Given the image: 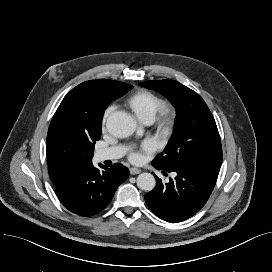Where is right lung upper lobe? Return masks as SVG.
I'll return each instance as SVG.
<instances>
[{"instance_id": "1", "label": "right lung upper lobe", "mask_w": 272, "mask_h": 272, "mask_svg": "<svg viewBox=\"0 0 272 272\" xmlns=\"http://www.w3.org/2000/svg\"><path fill=\"white\" fill-rule=\"evenodd\" d=\"M124 84L108 79L86 81L62 100L46 141L49 175L56 188L92 163L91 147L101 135L104 110Z\"/></svg>"}]
</instances>
